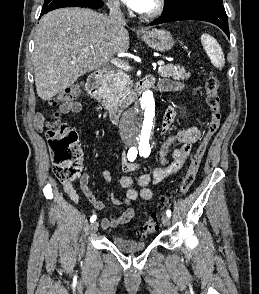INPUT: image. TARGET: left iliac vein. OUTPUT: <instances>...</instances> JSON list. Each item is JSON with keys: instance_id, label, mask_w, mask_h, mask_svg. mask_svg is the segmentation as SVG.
Returning a JSON list of instances; mask_svg holds the SVG:
<instances>
[{"instance_id": "obj_1", "label": "left iliac vein", "mask_w": 259, "mask_h": 294, "mask_svg": "<svg viewBox=\"0 0 259 294\" xmlns=\"http://www.w3.org/2000/svg\"><path fill=\"white\" fill-rule=\"evenodd\" d=\"M162 223L165 227H169L170 224H171V220H170V217H168L167 215H164L162 217Z\"/></svg>"}]
</instances>
